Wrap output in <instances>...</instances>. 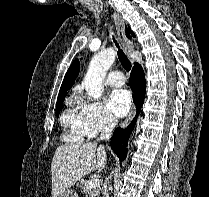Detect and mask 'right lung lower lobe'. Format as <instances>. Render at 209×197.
<instances>
[{
    "mask_svg": "<svg viewBox=\"0 0 209 197\" xmlns=\"http://www.w3.org/2000/svg\"><path fill=\"white\" fill-rule=\"evenodd\" d=\"M129 86L134 92V103L136 104L137 114L133 121L126 129L117 128L111 138V148L116 155L123 161L126 157L128 137L135 126L136 119L140 112V108L144 101L146 81L144 77V71L139 64H135L129 79Z\"/></svg>",
    "mask_w": 209,
    "mask_h": 197,
    "instance_id": "98d812e1",
    "label": "right lung lower lobe"
}]
</instances>
